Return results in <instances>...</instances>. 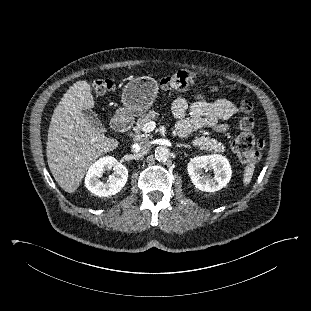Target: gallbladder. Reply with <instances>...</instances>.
<instances>
[{
	"mask_svg": "<svg viewBox=\"0 0 311 311\" xmlns=\"http://www.w3.org/2000/svg\"><path fill=\"white\" fill-rule=\"evenodd\" d=\"M82 112L83 115L92 123L95 128L99 130L104 129L101 121L98 119L97 114L92 109H84Z\"/></svg>",
	"mask_w": 311,
	"mask_h": 311,
	"instance_id": "gallbladder-1",
	"label": "gallbladder"
}]
</instances>
